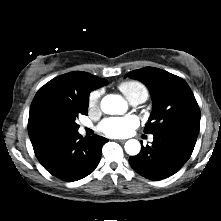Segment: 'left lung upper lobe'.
<instances>
[{"label": "left lung upper lobe", "instance_id": "left-lung-upper-lobe-1", "mask_svg": "<svg viewBox=\"0 0 221 221\" xmlns=\"http://www.w3.org/2000/svg\"><path fill=\"white\" fill-rule=\"evenodd\" d=\"M143 82L150 90L153 110L144 133L179 130L198 137L200 110L188 84L162 69L145 67L127 74Z\"/></svg>", "mask_w": 221, "mask_h": 221}]
</instances>
